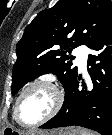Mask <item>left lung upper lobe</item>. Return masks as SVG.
Here are the masks:
<instances>
[{
    "instance_id": "left-lung-upper-lobe-1",
    "label": "left lung upper lobe",
    "mask_w": 112,
    "mask_h": 135,
    "mask_svg": "<svg viewBox=\"0 0 112 135\" xmlns=\"http://www.w3.org/2000/svg\"><path fill=\"white\" fill-rule=\"evenodd\" d=\"M112 22L110 0H59L38 13L17 43L12 94L36 77L53 73L65 91L77 74L71 51L90 47Z\"/></svg>"
}]
</instances>
